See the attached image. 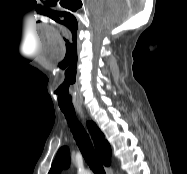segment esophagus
I'll use <instances>...</instances> for the list:
<instances>
[{
	"instance_id": "34e87169",
	"label": "esophagus",
	"mask_w": 187,
	"mask_h": 174,
	"mask_svg": "<svg viewBox=\"0 0 187 174\" xmlns=\"http://www.w3.org/2000/svg\"><path fill=\"white\" fill-rule=\"evenodd\" d=\"M77 113L79 114L80 118L85 121L86 119V116L83 112V109L82 108H77ZM105 170H106V174H113V170L111 168V166H107L105 167Z\"/></svg>"
}]
</instances>
